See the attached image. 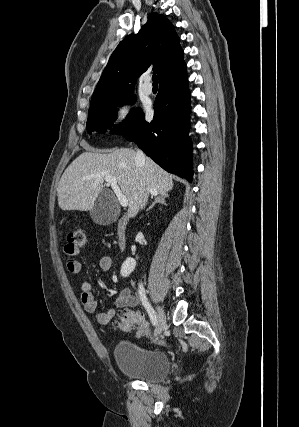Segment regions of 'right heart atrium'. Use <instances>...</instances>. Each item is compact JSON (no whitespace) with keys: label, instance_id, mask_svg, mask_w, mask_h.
Masks as SVG:
<instances>
[{"label":"right heart atrium","instance_id":"obj_1","mask_svg":"<svg viewBox=\"0 0 299 427\" xmlns=\"http://www.w3.org/2000/svg\"><path fill=\"white\" fill-rule=\"evenodd\" d=\"M132 115V105L129 100L119 101L113 109L112 126L116 131L123 130L129 123Z\"/></svg>","mask_w":299,"mask_h":427}]
</instances>
